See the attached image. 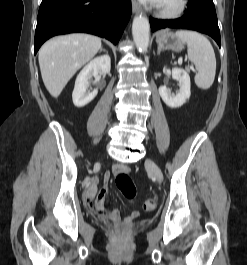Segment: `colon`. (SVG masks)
I'll use <instances>...</instances> for the list:
<instances>
[{
    "label": "colon",
    "mask_w": 247,
    "mask_h": 265,
    "mask_svg": "<svg viewBox=\"0 0 247 265\" xmlns=\"http://www.w3.org/2000/svg\"><path fill=\"white\" fill-rule=\"evenodd\" d=\"M116 186L125 198L129 200L135 199L137 189L132 178L127 173L121 172L116 176ZM156 206L157 201L154 198L146 200L143 204V208L146 211H152L156 208Z\"/></svg>",
    "instance_id": "colon-1"
}]
</instances>
